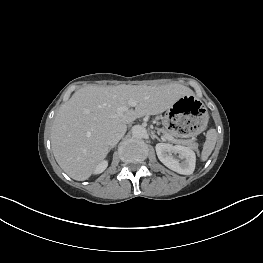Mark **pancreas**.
<instances>
[{"instance_id": "pancreas-1", "label": "pancreas", "mask_w": 263, "mask_h": 263, "mask_svg": "<svg viewBox=\"0 0 263 263\" xmlns=\"http://www.w3.org/2000/svg\"><path fill=\"white\" fill-rule=\"evenodd\" d=\"M159 131L167 136L172 137V139L170 140L172 143L183 144L190 147L191 149L198 150V143H196L193 139H178L176 138V132L172 130L162 128Z\"/></svg>"}]
</instances>
